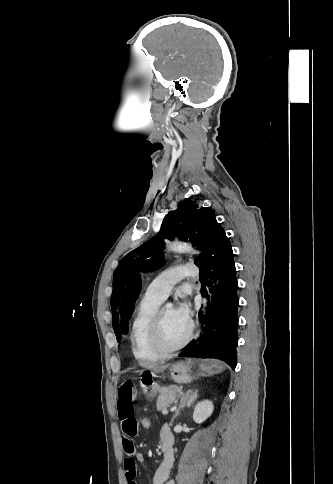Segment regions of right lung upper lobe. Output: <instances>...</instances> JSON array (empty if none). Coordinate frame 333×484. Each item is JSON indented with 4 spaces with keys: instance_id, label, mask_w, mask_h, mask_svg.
<instances>
[{
    "instance_id": "obj_1",
    "label": "right lung upper lobe",
    "mask_w": 333,
    "mask_h": 484,
    "mask_svg": "<svg viewBox=\"0 0 333 484\" xmlns=\"http://www.w3.org/2000/svg\"><path fill=\"white\" fill-rule=\"evenodd\" d=\"M140 289L141 278L140 275L137 274L131 279L120 306V313L122 317L121 328L123 332L125 330V327L127 326V320L130 319L133 312L134 304L140 292Z\"/></svg>"
}]
</instances>
